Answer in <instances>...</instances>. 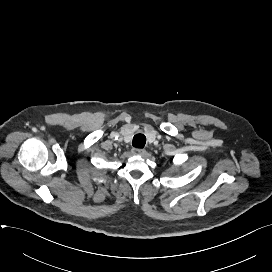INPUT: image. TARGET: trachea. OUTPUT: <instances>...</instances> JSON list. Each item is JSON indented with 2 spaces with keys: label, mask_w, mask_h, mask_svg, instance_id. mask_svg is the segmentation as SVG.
<instances>
[{
  "label": "trachea",
  "mask_w": 272,
  "mask_h": 272,
  "mask_svg": "<svg viewBox=\"0 0 272 272\" xmlns=\"http://www.w3.org/2000/svg\"><path fill=\"white\" fill-rule=\"evenodd\" d=\"M146 144V137L145 135L139 133V134H136L134 137H133V142H132V145L136 148H143Z\"/></svg>",
  "instance_id": "obj_1"
}]
</instances>
